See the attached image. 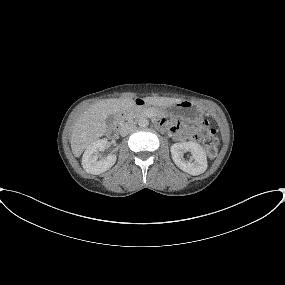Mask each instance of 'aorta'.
I'll list each match as a JSON object with an SVG mask.
<instances>
[{"label":"aorta","mask_w":285,"mask_h":285,"mask_svg":"<svg viewBox=\"0 0 285 285\" xmlns=\"http://www.w3.org/2000/svg\"><path fill=\"white\" fill-rule=\"evenodd\" d=\"M149 124V121L146 118H140L138 120V125L142 128L147 127Z\"/></svg>","instance_id":"762f6f07"}]
</instances>
